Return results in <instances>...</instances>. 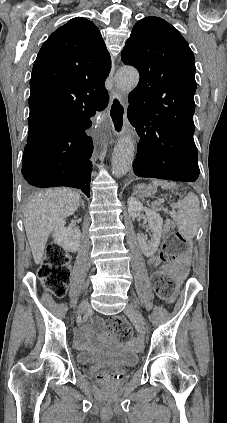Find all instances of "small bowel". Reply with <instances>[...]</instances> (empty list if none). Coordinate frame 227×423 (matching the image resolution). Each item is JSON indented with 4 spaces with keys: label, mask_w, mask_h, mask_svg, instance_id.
I'll return each mask as SVG.
<instances>
[{
    "label": "small bowel",
    "mask_w": 227,
    "mask_h": 423,
    "mask_svg": "<svg viewBox=\"0 0 227 423\" xmlns=\"http://www.w3.org/2000/svg\"><path fill=\"white\" fill-rule=\"evenodd\" d=\"M149 265L153 267H157L159 265L158 258L156 256L150 257ZM166 268L173 271L174 273L178 275H183L187 272V269H188L187 258L183 257L176 263L167 265ZM99 323H100L99 320L95 321V324H99ZM89 333H90L89 327H84L80 329L75 336V344L81 348L86 347L89 340ZM134 342L137 343V341H134Z\"/></svg>",
    "instance_id": "obj_1"
}]
</instances>
